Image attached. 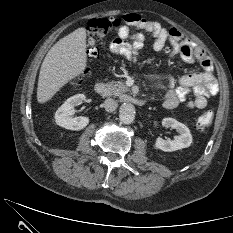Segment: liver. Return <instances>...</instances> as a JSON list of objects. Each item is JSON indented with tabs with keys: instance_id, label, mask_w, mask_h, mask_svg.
Listing matches in <instances>:
<instances>
[{
	"instance_id": "1",
	"label": "liver",
	"mask_w": 233,
	"mask_h": 233,
	"mask_svg": "<svg viewBox=\"0 0 233 233\" xmlns=\"http://www.w3.org/2000/svg\"><path fill=\"white\" fill-rule=\"evenodd\" d=\"M86 29L78 28L59 40L41 65L37 101H49L65 84L83 73L87 66Z\"/></svg>"
}]
</instances>
